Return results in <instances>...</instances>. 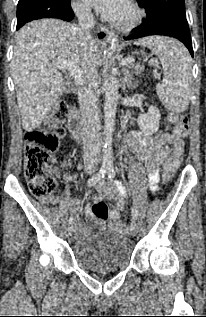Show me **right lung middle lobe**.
I'll return each mask as SVG.
<instances>
[{"instance_id":"dd1d6c3e","label":"right lung middle lobe","mask_w":206,"mask_h":317,"mask_svg":"<svg viewBox=\"0 0 206 317\" xmlns=\"http://www.w3.org/2000/svg\"><path fill=\"white\" fill-rule=\"evenodd\" d=\"M70 0H19L17 5V28L40 18H57L60 10H67Z\"/></svg>"}]
</instances>
